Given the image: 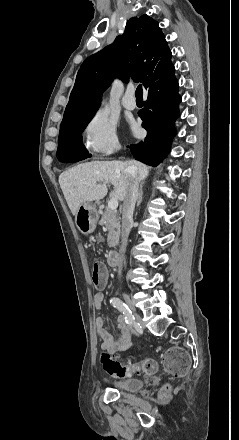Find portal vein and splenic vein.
<instances>
[{
  "label": "portal vein and splenic vein",
  "mask_w": 239,
  "mask_h": 440,
  "mask_svg": "<svg viewBox=\"0 0 239 440\" xmlns=\"http://www.w3.org/2000/svg\"><path fill=\"white\" fill-rule=\"evenodd\" d=\"M98 188H99V186H98ZM108 208H109V210H117V208H118L117 198H112V200H110V202H108Z\"/></svg>",
  "instance_id": "1"
}]
</instances>
